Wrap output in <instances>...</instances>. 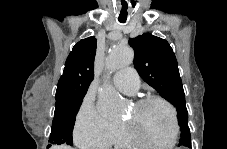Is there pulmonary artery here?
<instances>
[{
    "label": "pulmonary artery",
    "instance_id": "1",
    "mask_svg": "<svg viewBox=\"0 0 227 149\" xmlns=\"http://www.w3.org/2000/svg\"><path fill=\"white\" fill-rule=\"evenodd\" d=\"M115 87L124 94L134 95L140 87V79L132 67H126L117 71L113 76Z\"/></svg>",
    "mask_w": 227,
    "mask_h": 149
}]
</instances>
